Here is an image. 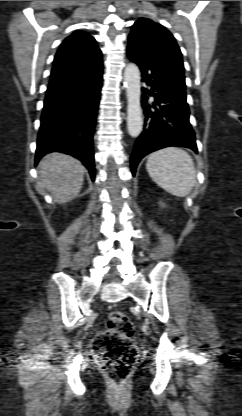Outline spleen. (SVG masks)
Returning <instances> with one entry per match:
<instances>
[{"mask_svg": "<svg viewBox=\"0 0 242 416\" xmlns=\"http://www.w3.org/2000/svg\"><path fill=\"white\" fill-rule=\"evenodd\" d=\"M146 169L157 185L175 196H186L196 182L192 157L177 147H167L150 154Z\"/></svg>", "mask_w": 242, "mask_h": 416, "instance_id": "1", "label": "spleen"}]
</instances>
